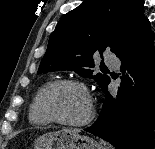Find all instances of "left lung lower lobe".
I'll return each instance as SVG.
<instances>
[{
    "instance_id": "1",
    "label": "left lung lower lobe",
    "mask_w": 155,
    "mask_h": 149,
    "mask_svg": "<svg viewBox=\"0 0 155 149\" xmlns=\"http://www.w3.org/2000/svg\"><path fill=\"white\" fill-rule=\"evenodd\" d=\"M148 19L123 47L121 84L116 98L102 87L106 101L97 121L85 131L117 149H153L155 120V46Z\"/></svg>"
}]
</instances>
